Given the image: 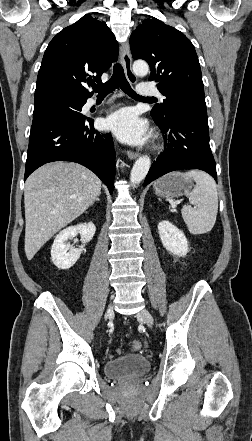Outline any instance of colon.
I'll return each instance as SVG.
<instances>
[{
  "label": "colon",
  "instance_id": "1",
  "mask_svg": "<svg viewBox=\"0 0 252 441\" xmlns=\"http://www.w3.org/2000/svg\"><path fill=\"white\" fill-rule=\"evenodd\" d=\"M141 348H142V343H141V341H139V340H134V341H132V343H131V349H132L133 351H140Z\"/></svg>",
  "mask_w": 252,
  "mask_h": 441
}]
</instances>
